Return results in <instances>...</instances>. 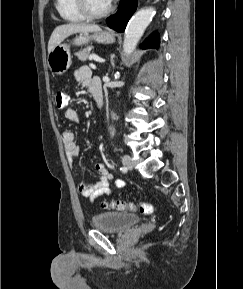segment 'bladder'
<instances>
[{
  "label": "bladder",
  "mask_w": 243,
  "mask_h": 289,
  "mask_svg": "<svg viewBox=\"0 0 243 289\" xmlns=\"http://www.w3.org/2000/svg\"><path fill=\"white\" fill-rule=\"evenodd\" d=\"M138 215L128 212H102L92 217V226L98 230L121 233L140 223Z\"/></svg>",
  "instance_id": "obj_1"
}]
</instances>
